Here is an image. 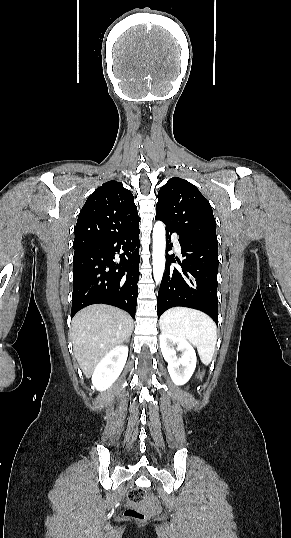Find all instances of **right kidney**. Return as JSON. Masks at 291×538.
<instances>
[{"mask_svg":"<svg viewBox=\"0 0 291 538\" xmlns=\"http://www.w3.org/2000/svg\"><path fill=\"white\" fill-rule=\"evenodd\" d=\"M128 357V347L119 345L108 352L97 364L92 375V387L103 391L119 377Z\"/></svg>","mask_w":291,"mask_h":538,"instance_id":"right-kidney-1","label":"right kidney"}]
</instances>
